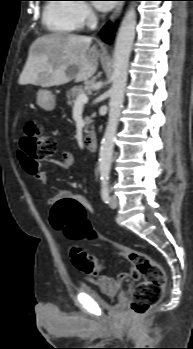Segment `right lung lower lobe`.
Returning <instances> with one entry per match:
<instances>
[{"mask_svg":"<svg viewBox=\"0 0 193 349\" xmlns=\"http://www.w3.org/2000/svg\"><path fill=\"white\" fill-rule=\"evenodd\" d=\"M112 36H113L112 27L110 26V24H107L101 31V37L105 41L110 42L112 40Z\"/></svg>","mask_w":193,"mask_h":349,"instance_id":"1","label":"right lung lower lobe"}]
</instances>
